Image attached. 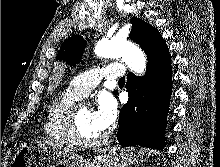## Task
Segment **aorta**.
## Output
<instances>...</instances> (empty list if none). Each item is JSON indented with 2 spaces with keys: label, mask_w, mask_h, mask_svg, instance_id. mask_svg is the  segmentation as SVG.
I'll use <instances>...</instances> for the list:
<instances>
[{
  "label": "aorta",
  "mask_w": 220,
  "mask_h": 167,
  "mask_svg": "<svg viewBox=\"0 0 220 167\" xmlns=\"http://www.w3.org/2000/svg\"><path fill=\"white\" fill-rule=\"evenodd\" d=\"M99 57L104 58H122L128 68L141 74L146 69V56L143 51L132 42L114 37L111 40H100L94 49Z\"/></svg>",
  "instance_id": "762f6f07"
}]
</instances>
